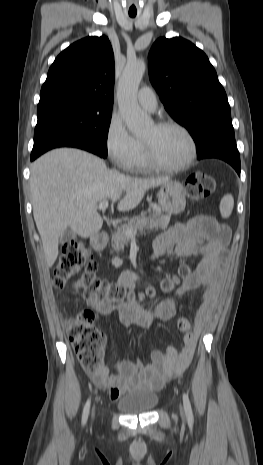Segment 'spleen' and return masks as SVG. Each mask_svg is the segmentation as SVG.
<instances>
[{
	"label": "spleen",
	"mask_w": 263,
	"mask_h": 465,
	"mask_svg": "<svg viewBox=\"0 0 263 465\" xmlns=\"http://www.w3.org/2000/svg\"><path fill=\"white\" fill-rule=\"evenodd\" d=\"M234 199L232 195H225L220 202V213L223 218H228L233 210Z\"/></svg>",
	"instance_id": "1"
}]
</instances>
